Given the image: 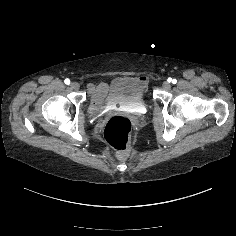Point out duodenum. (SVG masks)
<instances>
[{"mask_svg":"<svg viewBox=\"0 0 236 236\" xmlns=\"http://www.w3.org/2000/svg\"><path fill=\"white\" fill-rule=\"evenodd\" d=\"M103 91L101 89H93L91 92V110L98 112L102 106Z\"/></svg>","mask_w":236,"mask_h":236,"instance_id":"duodenum-1","label":"duodenum"}]
</instances>
